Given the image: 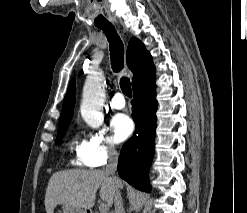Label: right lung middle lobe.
<instances>
[{"label":"right lung middle lobe","mask_w":247,"mask_h":213,"mask_svg":"<svg viewBox=\"0 0 247 213\" xmlns=\"http://www.w3.org/2000/svg\"><path fill=\"white\" fill-rule=\"evenodd\" d=\"M68 126H69V124H64V125L58 127V134H57V138H56V144L60 143V141L62 140V138H63Z\"/></svg>","instance_id":"dd1d6c3e"}]
</instances>
